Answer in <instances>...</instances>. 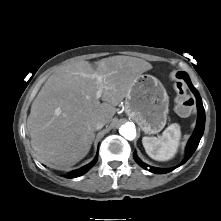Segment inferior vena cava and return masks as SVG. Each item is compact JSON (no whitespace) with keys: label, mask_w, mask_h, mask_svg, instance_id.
I'll list each match as a JSON object with an SVG mask.
<instances>
[{"label":"inferior vena cava","mask_w":221,"mask_h":221,"mask_svg":"<svg viewBox=\"0 0 221 221\" xmlns=\"http://www.w3.org/2000/svg\"><path fill=\"white\" fill-rule=\"evenodd\" d=\"M105 125L104 121L96 119L92 121V128L94 130H100Z\"/></svg>","instance_id":"1"}]
</instances>
